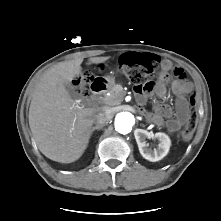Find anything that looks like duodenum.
Instances as JSON below:
<instances>
[{
	"instance_id": "1",
	"label": "duodenum",
	"mask_w": 221,
	"mask_h": 221,
	"mask_svg": "<svg viewBox=\"0 0 221 221\" xmlns=\"http://www.w3.org/2000/svg\"><path fill=\"white\" fill-rule=\"evenodd\" d=\"M90 88L94 94L100 95L107 91L109 88V83L104 79L98 78L93 81Z\"/></svg>"
}]
</instances>
